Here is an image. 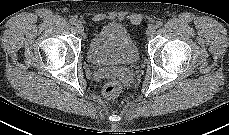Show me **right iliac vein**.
Listing matches in <instances>:
<instances>
[{
	"instance_id": "63e3f726",
	"label": "right iliac vein",
	"mask_w": 229,
	"mask_h": 135,
	"mask_svg": "<svg viewBox=\"0 0 229 135\" xmlns=\"http://www.w3.org/2000/svg\"><path fill=\"white\" fill-rule=\"evenodd\" d=\"M76 30H77L78 33H83V31H84V26H83V24H82L81 22H78V23L76 24Z\"/></svg>"
}]
</instances>
